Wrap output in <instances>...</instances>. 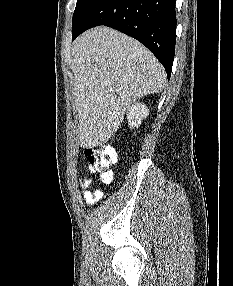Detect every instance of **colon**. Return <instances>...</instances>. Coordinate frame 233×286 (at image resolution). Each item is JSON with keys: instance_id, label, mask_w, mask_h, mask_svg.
Instances as JSON below:
<instances>
[{"instance_id": "5ec220e1", "label": "colon", "mask_w": 233, "mask_h": 286, "mask_svg": "<svg viewBox=\"0 0 233 286\" xmlns=\"http://www.w3.org/2000/svg\"><path fill=\"white\" fill-rule=\"evenodd\" d=\"M89 168L100 175L102 182L108 183L112 179V165L116 160V152L109 146L92 147L85 150Z\"/></svg>"}]
</instances>
